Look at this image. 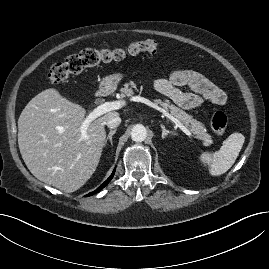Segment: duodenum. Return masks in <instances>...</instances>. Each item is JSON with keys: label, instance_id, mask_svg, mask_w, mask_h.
<instances>
[{"label": "duodenum", "instance_id": "duodenum-1", "mask_svg": "<svg viewBox=\"0 0 269 269\" xmlns=\"http://www.w3.org/2000/svg\"><path fill=\"white\" fill-rule=\"evenodd\" d=\"M106 94H107V89L106 88H101L98 91L97 98L102 99Z\"/></svg>", "mask_w": 269, "mask_h": 269}]
</instances>
